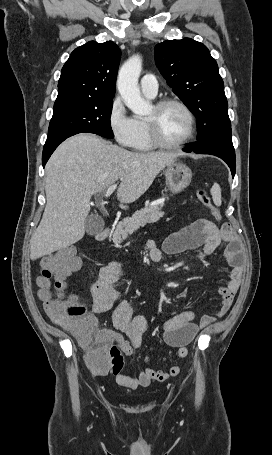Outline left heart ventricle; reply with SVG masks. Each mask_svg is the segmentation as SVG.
I'll use <instances>...</instances> for the list:
<instances>
[{
  "mask_svg": "<svg viewBox=\"0 0 272 455\" xmlns=\"http://www.w3.org/2000/svg\"><path fill=\"white\" fill-rule=\"evenodd\" d=\"M147 118H155L160 137L166 143L181 141L188 132V119L183 110L175 105H170L160 111L154 107Z\"/></svg>",
  "mask_w": 272,
  "mask_h": 455,
  "instance_id": "left-heart-ventricle-1",
  "label": "left heart ventricle"
}]
</instances>
